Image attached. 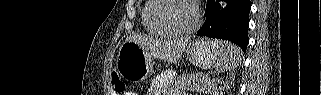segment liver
Wrapping results in <instances>:
<instances>
[{"mask_svg":"<svg viewBox=\"0 0 321 95\" xmlns=\"http://www.w3.org/2000/svg\"><path fill=\"white\" fill-rule=\"evenodd\" d=\"M126 42H135L154 57L175 63L180 59L189 39L158 41L139 33H132L126 38Z\"/></svg>","mask_w":321,"mask_h":95,"instance_id":"liver-1","label":"liver"}]
</instances>
